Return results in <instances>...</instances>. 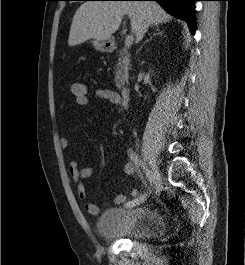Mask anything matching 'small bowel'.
Listing matches in <instances>:
<instances>
[{"label":"small bowel","instance_id":"obj_1","mask_svg":"<svg viewBox=\"0 0 245 265\" xmlns=\"http://www.w3.org/2000/svg\"><path fill=\"white\" fill-rule=\"evenodd\" d=\"M95 96L99 99L108 100L109 102L116 105H121L122 103L120 95L116 91H113L111 89L98 88L95 90ZM60 145L64 149L67 148L69 146L68 138L65 136L61 137ZM68 172L71 177V180L77 187L78 197L84 202V208L86 212L90 215H98L101 211V206L88 200V194L83 184L84 179H87L92 176L93 168L91 166H84L80 168L76 161L71 160L68 163ZM124 172L127 175L134 176L137 174L136 166L133 163L129 162L125 164ZM130 194L132 197H136L138 191L136 189H132ZM114 203L117 205L125 204L126 196L123 194H117L114 198Z\"/></svg>","mask_w":245,"mask_h":265}]
</instances>
